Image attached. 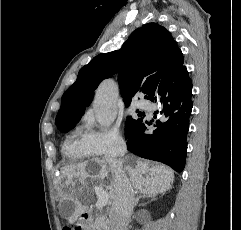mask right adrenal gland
Here are the masks:
<instances>
[{
	"mask_svg": "<svg viewBox=\"0 0 241 230\" xmlns=\"http://www.w3.org/2000/svg\"><path fill=\"white\" fill-rule=\"evenodd\" d=\"M141 198H154V196H150V195H147V194L139 195L135 200L134 206L138 205Z\"/></svg>",
	"mask_w": 241,
	"mask_h": 230,
	"instance_id": "1",
	"label": "right adrenal gland"
}]
</instances>
